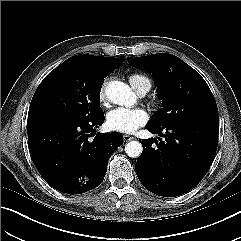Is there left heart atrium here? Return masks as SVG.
<instances>
[{
    "instance_id": "left-heart-atrium-1",
    "label": "left heart atrium",
    "mask_w": 241,
    "mask_h": 241,
    "mask_svg": "<svg viewBox=\"0 0 241 241\" xmlns=\"http://www.w3.org/2000/svg\"><path fill=\"white\" fill-rule=\"evenodd\" d=\"M147 113L141 108L118 107L107 114V126L114 131L122 133H133L139 127L146 124Z\"/></svg>"
}]
</instances>
